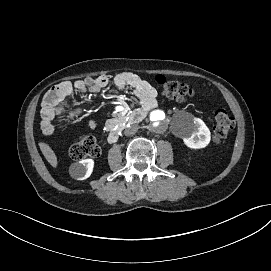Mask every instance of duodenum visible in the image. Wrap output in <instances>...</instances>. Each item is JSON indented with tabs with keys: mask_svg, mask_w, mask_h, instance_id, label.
I'll list each match as a JSON object with an SVG mask.
<instances>
[{
	"mask_svg": "<svg viewBox=\"0 0 271 271\" xmlns=\"http://www.w3.org/2000/svg\"><path fill=\"white\" fill-rule=\"evenodd\" d=\"M144 116H145V110L137 109L129 116L128 120L130 123L135 124V123L140 122ZM118 137H119V134L117 131H111L108 135L109 143H115Z\"/></svg>",
	"mask_w": 271,
	"mask_h": 271,
	"instance_id": "1",
	"label": "duodenum"
}]
</instances>
